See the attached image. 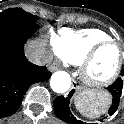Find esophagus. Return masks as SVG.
<instances>
[{
  "mask_svg": "<svg viewBox=\"0 0 124 124\" xmlns=\"http://www.w3.org/2000/svg\"><path fill=\"white\" fill-rule=\"evenodd\" d=\"M58 67H59L58 62H53V63L49 66L50 70H52V71L57 70ZM72 88L75 89V90H78V89H79V86H78L77 83L75 82V84L73 85Z\"/></svg>",
  "mask_w": 124,
  "mask_h": 124,
  "instance_id": "1",
  "label": "esophagus"
}]
</instances>
